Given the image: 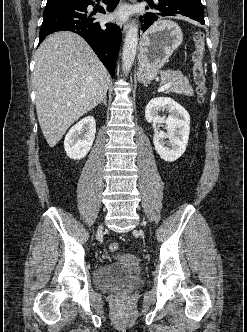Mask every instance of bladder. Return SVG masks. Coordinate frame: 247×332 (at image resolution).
Segmentation results:
<instances>
[{"mask_svg": "<svg viewBox=\"0 0 247 332\" xmlns=\"http://www.w3.org/2000/svg\"><path fill=\"white\" fill-rule=\"evenodd\" d=\"M94 283L99 289L105 291L132 290L143 284V278L135 270L134 257L130 254H122L95 270Z\"/></svg>", "mask_w": 247, "mask_h": 332, "instance_id": "1", "label": "bladder"}]
</instances>
